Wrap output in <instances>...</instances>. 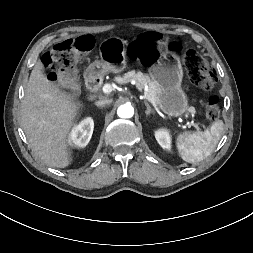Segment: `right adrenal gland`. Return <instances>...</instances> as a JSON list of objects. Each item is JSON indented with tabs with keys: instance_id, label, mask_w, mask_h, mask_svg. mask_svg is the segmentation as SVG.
<instances>
[{
	"instance_id": "obj_1",
	"label": "right adrenal gland",
	"mask_w": 253,
	"mask_h": 253,
	"mask_svg": "<svg viewBox=\"0 0 253 253\" xmlns=\"http://www.w3.org/2000/svg\"><path fill=\"white\" fill-rule=\"evenodd\" d=\"M97 106V105H96ZM97 107H99V108H103V106H97Z\"/></svg>"
}]
</instances>
